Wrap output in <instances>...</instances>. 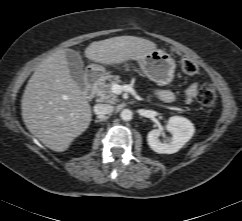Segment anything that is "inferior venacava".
I'll use <instances>...</instances> for the list:
<instances>
[{"instance_id":"inferior-vena-cava-1","label":"inferior vena cava","mask_w":242,"mask_h":221,"mask_svg":"<svg viewBox=\"0 0 242 221\" xmlns=\"http://www.w3.org/2000/svg\"><path fill=\"white\" fill-rule=\"evenodd\" d=\"M114 111V106L109 104H96L94 106V112L97 115H107Z\"/></svg>"}]
</instances>
